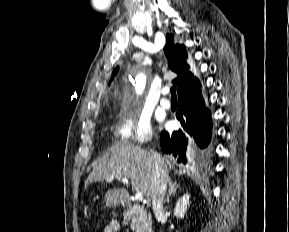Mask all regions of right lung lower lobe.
<instances>
[{
  "instance_id": "right-lung-lower-lobe-1",
  "label": "right lung lower lobe",
  "mask_w": 289,
  "mask_h": 232,
  "mask_svg": "<svg viewBox=\"0 0 289 232\" xmlns=\"http://www.w3.org/2000/svg\"><path fill=\"white\" fill-rule=\"evenodd\" d=\"M176 117L183 131H163L160 137L161 149L165 154L178 157V162L186 163L185 152L191 148L192 142L203 149L210 144L212 137L211 114L205 108L201 90L179 97Z\"/></svg>"
}]
</instances>
